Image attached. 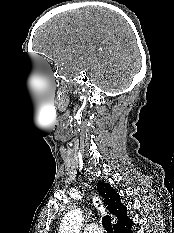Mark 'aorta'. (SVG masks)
Returning <instances> with one entry per match:
<instances>
[{
	"mask_svg": "<svg viewBox=\"0 0 174 233\" xmlns=\"http://www.w3.org/2000/svg\"><path fill=\"white\" fill-rule=\"evenodd\" d=\"M81 223L82 211L80 209L71 210L63 217L59 233H80Z\"/></svg>",
	"mask_w": 174,
	"mask_h": 233,
	"instance_id": "obj_1",
	"label": "aorta"
}]
</instances>
